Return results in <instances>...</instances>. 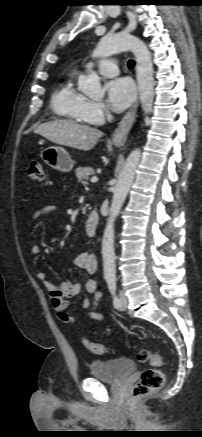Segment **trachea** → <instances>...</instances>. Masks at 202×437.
I'll use <instances>...</instances> for the list:
<instances>
[{
    "label": "trachea",
    "mask_w": 202,
    "mask_h": 437,
    "mask_svg": "<svg viewBox=\"0 0 202 437\" xmlns=\"http://www.w3.org/2000/svg\"><path fill=\"white\" fill-rule=\"evenodd\" d=\"M134 65H135V61L134 60L131 59V60L128 61V67L130 69H132L134 67Z\"/></svg>",
    "instance_id": "1"
}]
</instances>
